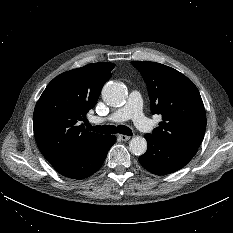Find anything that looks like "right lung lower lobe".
<instances>
[{"mask_svg":"<svg viewBox=\"0 0 233 233\" xmlns=\"http://www.w3.org/2000/svg\"><path fill=\"white\" fill-rule=\"evenodd\" d=\"M114 135H106L95 145L75 157L55 164L53 167L61 175L72 179H84L94 174L103 164L108 150L115 143Z\"/></svg>","mask_w":233,"mask_h":233,"instance_id":"98d812e1","label":"right lung lower lobe"}]
</instances>
